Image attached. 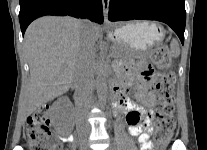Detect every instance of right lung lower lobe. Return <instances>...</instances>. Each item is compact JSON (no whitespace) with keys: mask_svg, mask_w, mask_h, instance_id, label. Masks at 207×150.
I'll list each match as a JSON object with an SVG mask.
<instances>
[{"mask_svg":"<svg viewBox=\"0 0 207 150\" xmlns=\"http://www.w3.org/2000/svg\"><path fill=\"white\" fill-rule=\"evenodd\" d=\"M45 15L73 16L89 18L103 23L101 0H20L19 21L22 34L28 25L38 17Z\"/></svg>","mask_w":207,"mask_h":150,"instance_id":"right-lung-lower-lobe-1","label":"right lung lower lobe"}]
</instances>
